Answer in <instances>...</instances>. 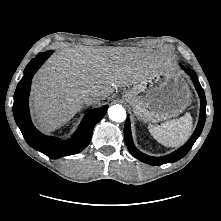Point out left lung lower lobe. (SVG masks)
<instances>
[{"label": "left lung lower lobe", "mask_w": 221, "mask_h": 221, "mask_svg": "<svg viewBox=\"0 0 221 221\" xmlns=\"http://www.w3.org/2000/svg\"><path fill=\"white\" fill-rule=\"evenodd\" d=\"M181 67L192 78L195 88L200 97L201 107H200L199 122L191 138L181 148H179L175 152L166 156L152 157V156L143 154L134 146L132 135H131L130 120H129V117L127 116V120L124 125L125 143L131 155L144 163H147L150 165H162L165 163H173V162L180 160L182 157H184L188 153V151L191 149V147L193 146V144L195 143V141L200 136L203 130L205 120H206V98H205L204 90L201 87L195 72L192 69H185L183 65H181Z\"/></svg>", "instance_id": "1"}]
</instances>
